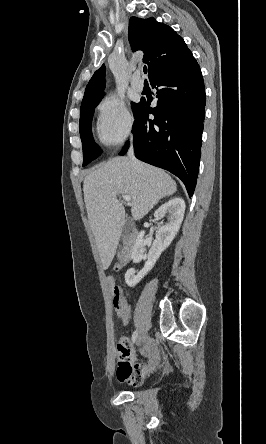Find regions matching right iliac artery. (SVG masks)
<instances>
[{"label":"right iliac artery","mask_w":266,"mask_h":444,"mask_svg":"<svg viewBox=\"0 0 266 444\" xmlns=\"http://www.w3.org/2000/svg\"><path fill=\"white\" fill-rule=\"evenodd\" d=\"M138 338V331L135 330L132 334V342L135 343Z\"/></svg>","instance_id":"82829eb1"}]
</instances>
